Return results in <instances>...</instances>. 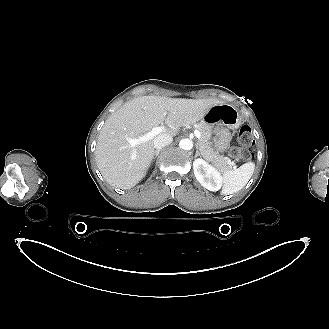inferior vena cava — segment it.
Masks as SVG:
<instances>
[{
    "mask_svg": "<svg viewBox=\"0 0 329 329\" xmlns=\"http://www.w3.org/2000/svg\"><path fill=\"white\" fill-rule=\"evenodd\" d=\"M172 141H173L172 136L168 134H160L154 138V148L160 150L163 147L171 144Z\"/></svg>",
    "mask_w": 329,
    "mask_h": 329,
    "instance_id": "inferior-vena-cava-1",
    "label": "inferior vena cava"
}]
</instances>
